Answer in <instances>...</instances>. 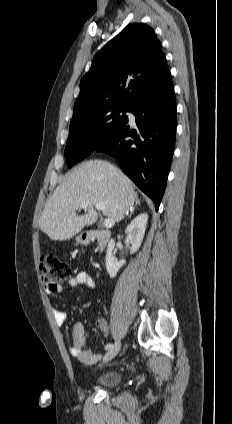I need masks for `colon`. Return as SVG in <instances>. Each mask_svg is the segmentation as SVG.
<instances>
[{
    "instance_id": "1",
    "label": "colon",
    "mask_w": 232,
    "mask_h": 424,
    "mask_svg": "<svg viewBox=\"0 0 232 424\" xmlns=\"http://www.w3.org/2000/svg\"><path fill=\"white\" fill-rule=\"evenodd\" d=\"M40 274L43 285L55 289L62 281L71 275V266L68 262L59 259L54 254H44L40 259Z\"/></svg>"
}]
</instances>
